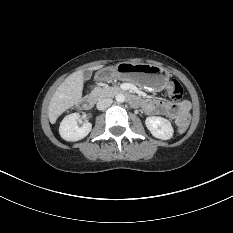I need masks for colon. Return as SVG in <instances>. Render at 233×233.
<instances>
[{
    "label": "colon",
    "mask_w": 233,
    "mask_h": 233,
    "mask_svg": "<svg viewBox=\"0 0 233 233\" xmlns=\"http://www.w3.org/2000/svg\"><path fill=\"white\" fill-rule=\"evenodd\" d=\"M167 94L173 101H179L183 96V87L177 80H171L167 85ZM187 125L178 128L180 133L186 131Z\"/></svg>",
    "instance_id": "obj_1"
}]
</instances>
